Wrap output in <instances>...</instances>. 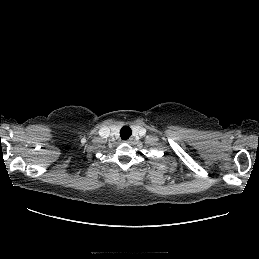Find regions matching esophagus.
<instances>
[{"label":"esophagus","mask_w":259,"mask_h":259,"mask_svg":"<svg viewBox=\"0 0 259 259\" xmlns=\"http://www.w3.org/2000/svg\"><path fill=\"white\" fill-rule=\"evenodd\" d=\"M131 141H132V139H128V140H126V142H127V143H130Z\"/></svg>","instance_id":"obj_1"}]
</instances>
